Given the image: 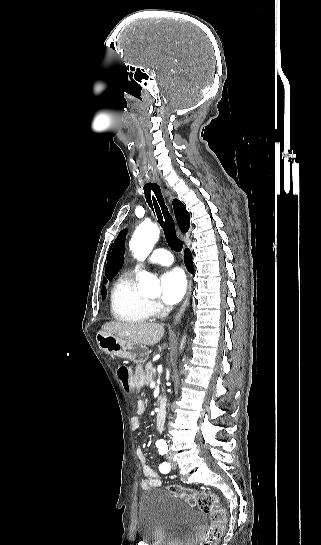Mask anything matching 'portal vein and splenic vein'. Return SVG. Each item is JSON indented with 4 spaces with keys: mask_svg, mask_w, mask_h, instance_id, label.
Listing matches in <instances>:
<instances>
[{
    "mask_svg": "<svg viewBox=\"0 0 321 545\" xmlns=\"http://www.w3.org/2000/svg\"><path fill=\"white\" fill-rule=\"evenodd\" d=\"M152 371H153V376H156V370H155V368H152Z\"/></svg>",
    "mask_w": 321,
    "mask_h": 545,
    "instance_id": "portal-vein-and-splenic-vein-1",
    "label": "portal vein and splenic vein"
}]
</instances>
